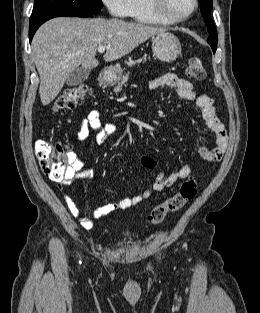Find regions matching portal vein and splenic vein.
<instances>
[{
  "label": "portal vein and splenic vein",
  "instance_id": "18ae733b",
  "mask_svg": "<svg viewBox=\"0 0 260 313\" xmlns=\"http://www.w3.org/2000/svg\"><path fill=\"white\" fill-rule=\"evenodd\" d=\"M107 49V46H99L98 52L103 53Z\"/></svg>",
  "mask_w": 260,
  "mask_h": 313
}]
</instances>
